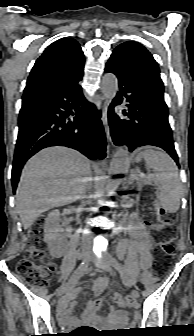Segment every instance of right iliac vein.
<instances>
[{"label":"right iliac vein","instance_id":"1","mask_svg":"<svg viewBox=\"0 0 194 336\" xmlns=\"http://www.w3.org/2000/svg\"><path fill=\"white\" fill-rule=\"evenodd\" d=\"M87 260H88V257H84V258H83L84 267L81 268V269L79 270V274L77 275L78 278H79V277L82 275V273L84 272V269H85V267H86V262H87ZM76 271H77V270H76ZM76 271H75V272H76ZM75 272H74L73 274H75ZM73 284H74V281L71 280V279H69L66 283H64V284L59 288L58 293H57L58 296L61 297L66 291H68V290L72 287Z\"/></svg>","mask_w":194,"mask_h":336}]
</instances>
